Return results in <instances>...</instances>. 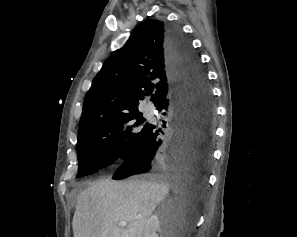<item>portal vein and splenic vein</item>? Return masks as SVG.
<instances>
[{
    "mask_svg": "<svg viewBox=\"0 0 297 237\" xmlns=\"http://www.w3.org/2000/svg\"><path fill=\"white\" fill-rule=\"evenodd\" d=\"M138 218H139V217H137V219H138ZM118 225L121 226V227H125V226L127 225V222L122 221V222H119Z\"/></svg>",
    "mask_w": 297,
    "mask_h": 237,
    "instance_id": "portal-vein-and-splenic-vein-1",
    "label": "portal vein and splenic vein"
}]
</instances>
